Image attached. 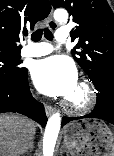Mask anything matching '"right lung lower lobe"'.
Masks as SVG:
<instances>
[{"label": "right lung lower lobe", "instance_id": "98d812e1", "mask_svg": "<svg viewBox=\"0 0 114 156\" xmlns=\"http://www.w3.org/2000/svg\"><path fill=\"white\" fill-rule=\"evenodd\" d=\"M18 112L38 122L43 128L47 117L42 103L36 101L30 92L27 69L15 84L0 85V113Z\"/></svg>", "mask_w": 114, "mask_h": 156}]
</instances>
